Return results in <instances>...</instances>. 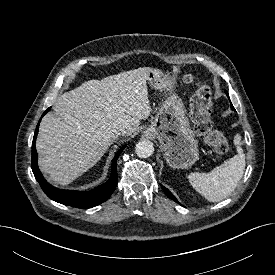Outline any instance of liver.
Listing matches in <instances>:
<instances>
[{"instance_id": "liver-1", "label": "liver", "mask_w": 275, "mask_h": 275, "mask_svg": "<svg viewBox=\"0 0 275 275\" xmlns=\"http://www.w3.org/2000/svg\"><path fill=\"white\" fill-rule=\"evenodd\" d=\"M151 70L90 80L58 97L55 113L42 118L36 141L39 167L52 182H73L103 157L120 128L130 136L149 117L146 84Z\"/></svg>"}]
</instances>
